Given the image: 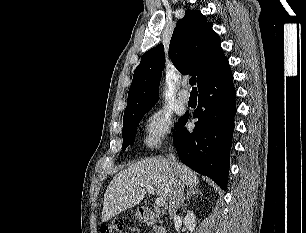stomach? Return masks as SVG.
Listing matches in <instances>:
<instances>
[{
	"instance_id": "obj_1",
	"label": "stomach",
	"mask_w": 306,
	"mask_h": 233,
	"mask_svg": "<svg viewBox=\"0 0 306 233\" xmlns=\"http://www.w3.org/2000/svg\"><path fill=\"white\" fill-rule=\"evenodd\" d=\"M136 218H137V219H140V216L138 215V213H136Z\"/></svg>"
}]
</instances>
